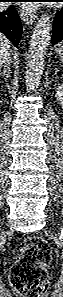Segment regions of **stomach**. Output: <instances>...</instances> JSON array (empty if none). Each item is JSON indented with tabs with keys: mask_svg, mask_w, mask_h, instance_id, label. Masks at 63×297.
<instances>
[{
	"mask_svg": "<svg viewBox=\"0 0 63 297\" xmlns=\"http://www.w3.org/2000/svg\"><path fill=\"white\" fill-rule=\"evenodd\" d=\"M56 53H57V55H58L60 58H63V46H62V45H59V46L56 48Z\"/></svg>",
	"mask_w": 63,
	"mask_h": 297,
	"instance_id": "1",
	"label": "stomach"
}]
</instances>
